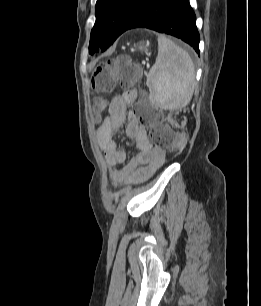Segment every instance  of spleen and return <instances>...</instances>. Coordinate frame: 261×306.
Returning a JSON list of instances; mask_svg holds the SVG:
<instances>
[{
    "label": "spleen",
    "instance_id": "1",
    "mask_svg": "<svg viewBox=\"0 0 261 306\" xmlns=\"http://www.w3.org/2000/svg\"><path fill=\"white\" fill-rule=\"evenodd\" d=\"M150 100L163 109H181L191 100L195 87V67L187 51L160 35L158 55L147 81Z\"/></svg>",
    "mask_w": 261,
    "mask_h": 306
}]
</instances>
